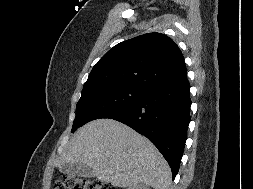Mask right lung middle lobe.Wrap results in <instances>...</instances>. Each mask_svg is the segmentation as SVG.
Returning a JSON list of instances; mask_svg holds the SVG:
<instances>
[{"label": "right lung middle lobe", "instance_id": "right-lung-middle-lobe-1", "mask_svg": "<svg viewBox=\"0 0 253 189\" xmlns=\"http://www.w3.org/2000/svg\"><path fill=\"white\" fill-rule=\"evenodd\" d=\"M147 91L124 86H108L83 92L76 106L72 132L99 118H105L141 100Z\"/></svg>", "mask_w": 253, "mask_h": 189}]
</instances>
